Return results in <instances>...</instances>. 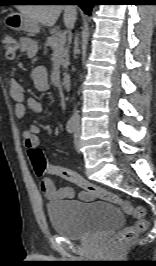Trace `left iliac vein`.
Wrapping results in <instances>:
<instances>
[{
    "instance_id": "left-iliac-vein-1",
    "label": "left iliac vein",
    "mask_w": 156,
    "mask_h": 266,
    "mask_svg": "<svg viewBox=\"0 0 156 266\" xmlns=\"http://www.w3.org/2000/svg\"><path fill=\"white\" fill-rule=\"evenodd\" d=\"M80 135H81V126H80V122L77 121L76 122V129H75V133H74V144H75V148L78 152H80Z\"/></svg>"
}]
</instances>
